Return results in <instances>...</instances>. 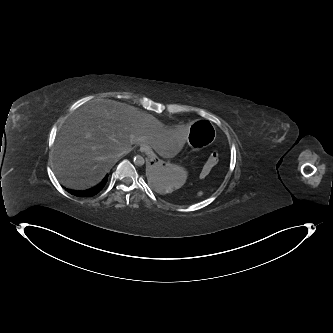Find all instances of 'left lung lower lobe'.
I'll return each instance as SVG.
<instances>
[{
    "mask_svg": "<svg viewBox=\"0 0 333 333\" xmlns=\"http://www.w3.org/2000/svg\"><path fill=\"white\" fill-rule=\"evenodd\" d=\"M147 176H154L155 171L152 168H148L146 171Z\"/></svg>",
    "mask_w": 333,
    "mask_h": 333,
    "instance_id": "0a47b994",
    "label": "left lung lower lobe"
}]
</instances>
